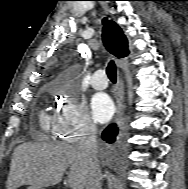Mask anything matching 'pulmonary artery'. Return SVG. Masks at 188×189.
<instances>
[{"label": "pulmonary artery", "instance_id": "1", "mask_svg": "<svg viewBox=\"0 0 188 189\" xmlns=\"http://www.w3.org/2000/svg\"><path fill=\"white\" fill-rule=\"evenodd\" d=\"M91 86L97 90L105 89L108 85V80L104 70L99 69L95 71L90 80Z\"/></svg>", "mask_w": 188, "mask_h": 189}]
</instances>
